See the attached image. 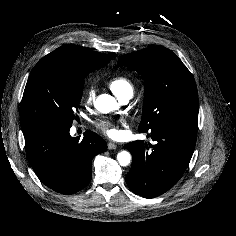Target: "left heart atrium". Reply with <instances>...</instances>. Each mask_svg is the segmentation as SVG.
I'll return each mask as SVG.
<instances>
[{
  "label": "left heart atrium",
  "mask_w": 236,
  "mask_h": 236,
  "mask_svg": "<svg viewBox=\"0 0 236 236\" xmlns=\"http://www.w3.org/2000/svg\"><path fill=\"white\" fill-rule=\"evenodd\" d=\"M98 127L105 133L107 134L109 137L115 138L117 136H119L120 131L117 127L116 124H114L112 121L110 120H101L98 123Z\"/></svg>",
  "instance_id": "obj_1"
}]
</instances>
